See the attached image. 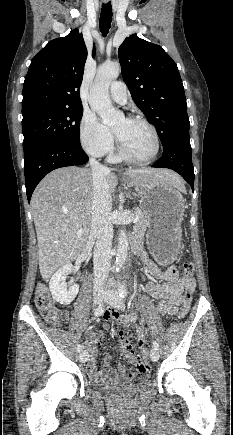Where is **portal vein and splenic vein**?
Instances as JSON below:
<instances>
[{
	"instance_id": "18ae733b",
	"label": "portal vein and splenic vein",
	"mask_w": 233,
	"mask_h": 435,
	"mask_svg": "<svg viewBox=\"0 0 233 435\" xmlns=\"http://www.w3.org/2000/svg\"><path fill=\"white\" fill-rule=\"evenodd\" d=\"M137 221H138V217H135L133 220V223H136ZM82 233H83L82 230H78V232H77L78 235H81Z\"/></svg>"
}]
</instances>
